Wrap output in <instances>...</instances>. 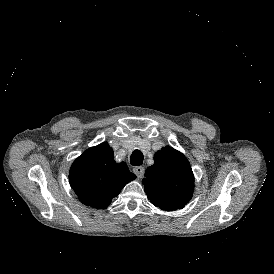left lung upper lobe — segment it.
Returning <instances> with one entry per match:
<instances>
[{
    "label": "left lung upper lobe",
    "instance_id": "1",
    "mask_svg": "<svg viewBox=\"0 0 274 274\" xmlns=\"http://www.w3.org/2000/svg\"><path fill=\"white\" fill-rule=\"evenodd\" d=\"M154 161L142 181L148 199L163 210L182 209L194 190V175L188 160L167 146L155 153Z\"/></svg>",
    "mask_w": 274,
    "mask_h": 274
}]
</instances>
